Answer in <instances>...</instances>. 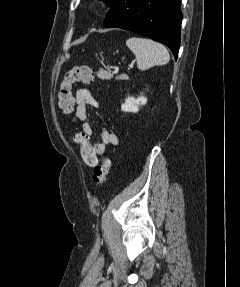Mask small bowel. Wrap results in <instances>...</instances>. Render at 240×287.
I'll return each instance as SVG.
<instances>
[{
    "label": "small bowel",
    "instance_id": "c3829d8e",
    "mask_svg": "<svg viewBox=\"0 0 240 287\" xmlns=\"http://www.w3.org/2000/svg\"><path fill=\"white\" fill-rule=\"evenodd\" d=\"M75 119L80 123L81 130L89 137L93 132L92 125L88 122V108L98 107V102L93 94L85 88H80L75 94ZM118 146L119 139L117 135L110 133L107 129H101L100 141L94 144L98 155L103 156L107 146Z\"/></svg>",
    "mask_w": 240,
    "mask_h": 287
}]
</instances>
